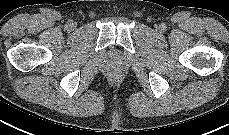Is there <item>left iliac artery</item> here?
Segmentation results:
<instances>
[{
    "mask_svg": "<svg viewBox=\"0 0 229 135\" xmlns=\"http://www.w3.org/2000/svg\"><path fill=\"white\" fill-rule=\"evenodd\" d=\"M166 26L165 25H162V28L164 29Z\"/></svg>",
    "mask_w": 229,
    "mask_h": 135,
    "instance_id": "1",
    "label": "left iliac artery"
}]
</instances>
